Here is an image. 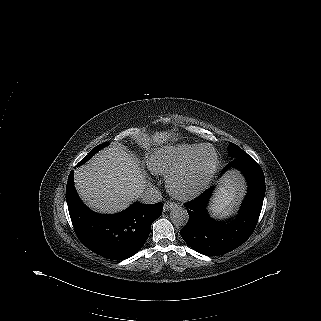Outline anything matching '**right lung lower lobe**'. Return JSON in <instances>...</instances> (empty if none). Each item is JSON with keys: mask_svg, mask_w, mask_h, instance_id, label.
<instances>
[{"mask_svg": "<svg viewBox=\"0 0 321 321\" xmlns=\"http://www.w3.org/2000/svg\"><path fill=\"white\" fill-rule=\"evenodd\" d=\"M66 200L79 240L94 253L112 260L136 254L146 242L151 224L162 214L163 203H133L123 212L104 215L93 212L80 200L69 174Z\"/></svg>", "mask_w": 321, "mask_h": 321, "instance_id": "obj_1", "label": "right lung lower lobe"}]
</instances>
